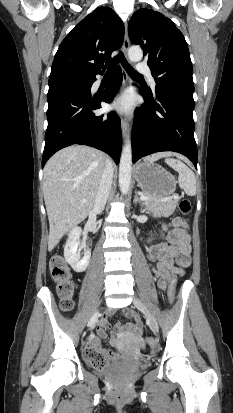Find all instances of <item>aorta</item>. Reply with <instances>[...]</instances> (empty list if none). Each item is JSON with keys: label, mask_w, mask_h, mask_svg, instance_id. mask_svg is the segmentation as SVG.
<instances>
[{"label": "aorta", "mask_w": 233, "mask_h": 413, "mask_svg": "<svg viewBox=\"0 0 233 413\" xmlns=\"http://www.w3.org/2000/svg\"><path fill=\"white\" fill-rule=\"evenodd\" d=\"M143 57V51L139 46H132L128 50V58L131 62H139ZM132 172V148L128 141L121 153L119 165V187L123 195H126L130 188Z\"/></svg>", "instance_id": "obj_1"}]
</instances>
